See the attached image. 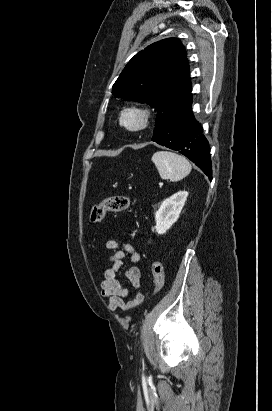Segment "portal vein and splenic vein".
Listing matches in <instances>:
<instances>
[{
	"label": "portal vein and splenic vein",
	"mask_w": 272,
	"mask_h": 411,
	"mask_svg": "<svg viewBox=\"0 0 272 411\" xmlns=\"http://www.w3.org/2000/svg\"><path fill=\"white\" fill-rule=\"evenodd\" d=\"M159 185L161 186V185H163V183H162V182H160V183H159Z\"/></svg>",
	"instance_id": "18ae733b"
}]
</instances>
